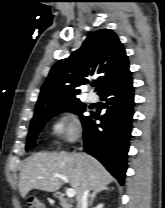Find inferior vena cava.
<instances>
[{
    "label": "inferior vena cava",
    "instance_id": "602c4592",
    "mask_svg": "<svg viewBox=\"0 0 165 208\" xmlns=\"http://www.w3.org/2000/svg\"><path fill=\"white\" fill-rule=\"evenodd\" d=\"M89 189L85 188L80 196L77 197V208H87Z\"/></svg>",
    "mask_w": 165,
    "mask_h": 208
}]
</instances>
